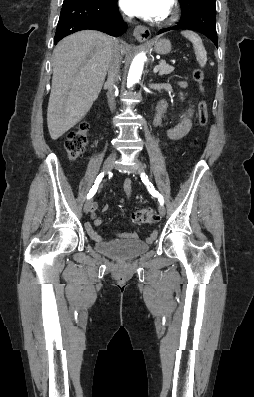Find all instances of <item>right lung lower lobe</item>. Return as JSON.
I'll return each mask as SVG.
<instances>
[{"mask_svg": "<svg viewBox=\"0 0 254 397\" xmlns=\"http://www.w3.org/2000/svg\"><path fill=\"white\" fill-rule=\"evenodd\" d=\"M113 2L92 0H64L54 37V44L71 33L94 29L112 36H119L126 30L121 23L117 7Z\"/></svg>", "mask_w": 254, "mask_h": 397, "instance_id": "1", "label": "right lung lower lobe"}]
</instances>
